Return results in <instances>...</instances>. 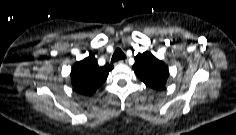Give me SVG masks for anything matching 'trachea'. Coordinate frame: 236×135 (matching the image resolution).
Segmentation results:
<instances>
[{"mask_svg":"<svg viewBox=\"0 0 236 135\" xmlns=\"http://www.w3.org/2000/svg\"><path fill=\"white\" fill-rule=\"evenodd\" d=\"M126 56L121 49L117 48L112 56L111 62H116L118 60L125 59Z\"/></svg>","mask_w":236,"mask_h":135,"instance_id":"trachea-1","label":"trachea"}]
</instances>
